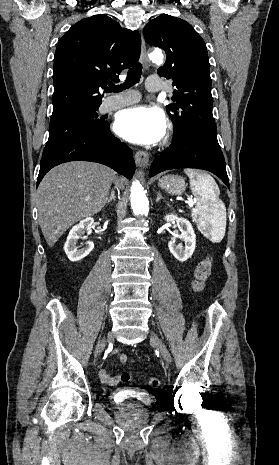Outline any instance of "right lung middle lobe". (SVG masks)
<instances>
[{"label": "right lung middle lobe", "mask_w": 279, "mask_h": 465, "mask_svg": "<svg viewBox=\"0 0 279 465\" xmlns=\"http://www.w3.org/2000/svg\"><path fill=\"white\" fill-rule=\"evenodd\" d=\"M97 109L85 112L59 124L50 125L49 138L42 156L49 154L59 146L80 135L95 134L108 128L109 124L107 122L97 118Z\"/></svg>", "instance_id": "1"}]
</instances>
